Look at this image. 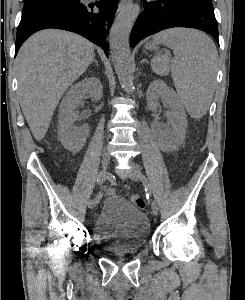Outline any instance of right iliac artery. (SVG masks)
Masks as SVG:
<instances>
[{"mask_svg":"<svg viewBox=\"0 0 245 300\" xmlns=\"http://www.w3.org/2000/svg\"><path fill=\"white\" fill-rule=\"evenodd\" d=\"M110 177H106L105 176V174H103V173H100L99 175H98V177H97V183L98 184H100V185H102L103 183H105V182H110ZM101 197H102V194L101 193H99L97 196H95L94 197V204L95 205H100L101 204Z\"/></svg>","mask_w":245,"mask_h":300,"instance_id":"82829eb1","label":"right iliac artery"}]
</instances>
